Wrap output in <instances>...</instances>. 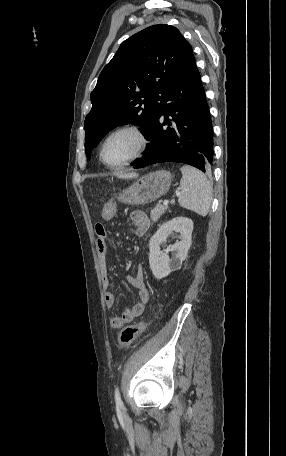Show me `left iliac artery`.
Segmentation results:
<instances>
[{"label":"left iliac artery","mask_w":286,"mask_h":456,"mask_svg":"<svg viewBox=\"0 0 286 456\" xmlns=\"http://www.w3.org/2000/svg\"><path fill=\"white\" fill-rule=\"evenodd\" d=\"M115 401L118 406L123 405L118 387L115 388Z\"/></svg>","instance_id":"1"}]
</instances>
